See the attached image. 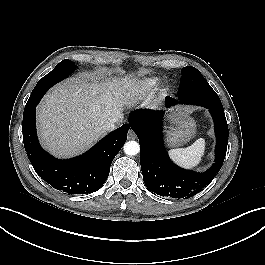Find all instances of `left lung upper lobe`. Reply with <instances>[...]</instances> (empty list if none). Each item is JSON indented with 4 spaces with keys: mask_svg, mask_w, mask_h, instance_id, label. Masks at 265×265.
<instances>
[{
    "mask_svg": "<svg viewBox=\"0 0 265 265\" xmlns=\"http://www.w3.org/2000/svg\"><path fill=\"white\" fill-rule=\"evenodd\" d=\"M200 88L211 89V86L196 68L191 66L182 68L180 88L178 92L179 98H185L186 96H190ZM213 104L219 108H223L222 103L217 94Z\"/></svg>",
    "mask_w": 265,
    "mask_h": 265,
    "instance_id": "obj_1",
    "label": "left lung upper lobe"
}]
</instances>
